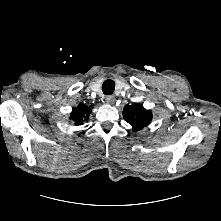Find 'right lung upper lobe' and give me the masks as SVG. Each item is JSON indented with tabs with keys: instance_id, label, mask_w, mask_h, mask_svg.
<instances>
[{
	"instance_id": "cb5924a9",
	"label": "right lung upper lobe",
	"mask_w": 221,
	"mask_h": 221,
	"mask_svg": "<svg viewBox=\"0 0 221 221\" xmlns=\"http://www.w3.org/2000/svg\"><path fill=\"white\" fill-rule=\"evenodd\" d=\"M90 112L91 110L86 105L80 104L73 108L70 118L76 125H80L81 122L88 119Z\"/></svg>"
}]
</instances>
